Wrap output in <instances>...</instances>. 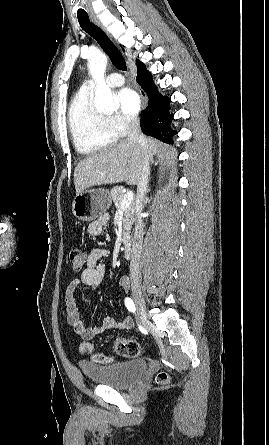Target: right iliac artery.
Returning a JSON list of instances; mask_svg holds the SVG:
<instances>
[{"mask_svg":"<svg viewBox=\"0 0 269 445\" xmlns=\"http://www.w3.org/2000/svg\"><path fill=\"white\" fill-rule=\"evenodd\" d=\"M125 305H126L127 309L130 312H134L135 311V305H134V302H133V300L131 298L127 297L125 299Z\"/></svg>","mask_w":269,"mask_h":445,"instance_id":"82829eb1","label":"right iliac artery"}]
</instances>
